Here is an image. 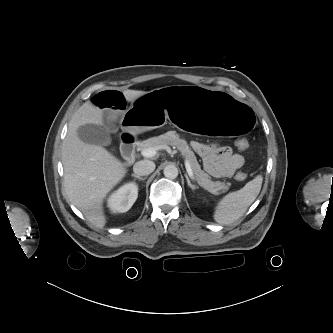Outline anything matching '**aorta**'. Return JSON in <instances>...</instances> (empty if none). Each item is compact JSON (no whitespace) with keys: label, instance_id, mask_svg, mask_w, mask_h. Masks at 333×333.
<instances>
[{"label":"aorta","instance_id":"1","mask_svg":"<svg viewBox=\"0 0 333 333\" xmlns=\"http://www.w3.org/2000/svg\"><path fill=\"white\" fill-rule=\"evenodd\" d=\"M164 176L168 179H175L177 178L178 176V169L176 166L174 165H167L165 168H164Z\"/></svg>","mask_w":333,"mask_h":333}]
</instances>
